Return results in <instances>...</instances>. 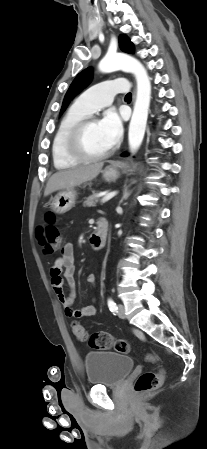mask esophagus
<instances>
[{
	"mask_svg": "<svg viewBox=\"0 0 207 449\" xmlns=\"http://www.w3.org/2000/svg\"><path fill=\"white\" fill-rule=\"evenodd\" d=\"M133 98H135V90H134Z\"/></svg>",
	"mask_w": 207,
	"mask_h": 449,
	"instance_id": "esophagus-1",
	"label": "esophagus"
}]
</instances>
